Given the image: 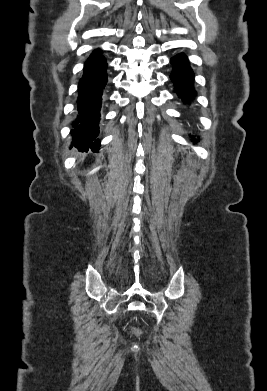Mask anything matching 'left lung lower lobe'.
I'll list each match as a JSON object with an SVG mask.
<instances>
[{"label": "left lung lower lobe", "instance_id": "obj_1", "mask_svg": "<svg viewBox=\"0 0 267 391\" xmlns=\"http://www.w3.org/2000/svg\"><path fill=\"white\" fill-rule=\"evenodd\" d=\"M173 71L170 75L175 92L184 102H190L195 91L193 88L194 74L189 66L187 57L181 53L171 59Z\"/></svg>", "mask_w": 267, "mask_h": 391}]
</instances>
